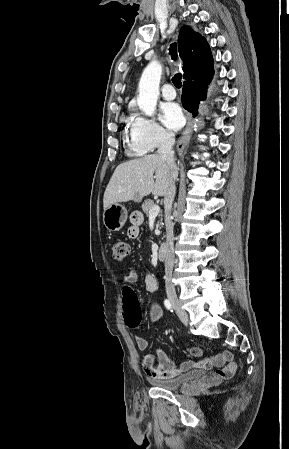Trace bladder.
Returning a JSON list of instances; mask_svg holds the SVG:
<instances>
[{
  "label": "bladder",
  "instance_id": "bladder-1",
  "mask_svg": "<svg viewBox=\"0 0 289 449\" xmlns=\"http://www.w3.org/2000/svg\"><path fill=\"white\" fill-rule=\"evenodd\" d=\"M205 376V371L194 370L173 378H150V383L164 390L177 391L189 384L202 380Z\"/></svg>",
  "mask_w": 289,
  "mask_h": 449
}]
</instances>
